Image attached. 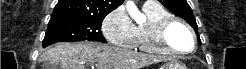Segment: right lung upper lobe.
I'll return each instance as SVG.
<instances>
[{"mask_svg": "<svg viewBox=\"0 0 246 69\" xmlns=\"http://www.w3.org/2000/svg\"><path fill=\"white\" fill-rule=\"evenodd\" d=\"M124 0H59L51 18L105 17Z\"/></svg>", "mask_w": 246, "mask_h": 69, "instance_id": "1", "label": "right lung upper lobe"}]
</instances>
